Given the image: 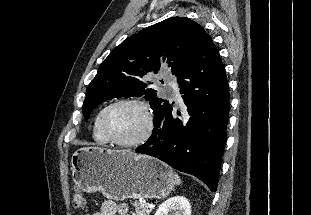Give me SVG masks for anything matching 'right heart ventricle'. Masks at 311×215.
Here are the masks:
<instances>
[{
  "mask_svg": "<svg viewBox=\"0 0 311 215\" xmlns=\"http://www.w3.org/2000/svg\"><path fill=\"white\" fill-rule=\"evenodd\" d=\"M103 109L99 110L93 122V138L99 144H107L108 140L103 136L99 127V119Z\"/></svg>",
  "mask_w": 311,
  "mask_h": 215,
  "instance_id": "1",
  "label": "right heart ventricle"
}]
</instances>
